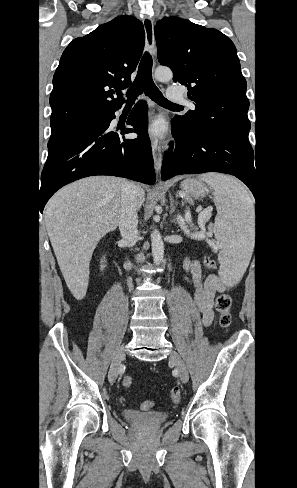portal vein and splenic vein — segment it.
<instances>
[{"instance_id":"1","label":"portal vein and splenic vein","mask_w":297,"mask_h":488,"mask_svg":"<svg viewBox=\"0 0 297 488\" xmlns=\"http://www.w3.org/2000/svg\"><path fill=\"white\" fill-rule=\"evenodd\" d=\"M211 211H212V208L211 207H208L204 211L200 212L199 213V216H198V220L201 223H203L208 217H210ZM191 220H192V218H191L190 211L187 210L186 213H185V215H184L183 221H185V222H191ZM202 229H204V225L203 224H202Z\"/></svg>"}]
</instances>
